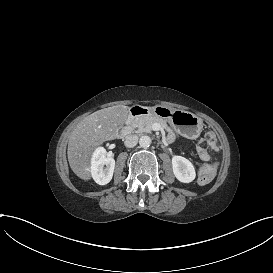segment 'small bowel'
I'll use <instances>...</instances> for the list:
<instances>
[{
	"mask_svg": "<svg viewBox=\"0 0 273 273\" xmlns=\"http://www.w3.org/2000/svg\"><path fill=\"white\" fill-rule=\"evenodd\" d=\"M205 136H206V143H207V145L210 146L211 152H213V153L218 152L219 145H218V141L215 137L214 132L211 130H208V131H206ZM197 154H198V156H200L203 159H208L211 156L210 151L206 150V148H204V147L199 148L197 151Z\"/></svg>",
	"mask_w": 273,
	"mask_h": 273,
	"instance_id": "obj_1",
	"label": "small bowel"
}]
</instances>
